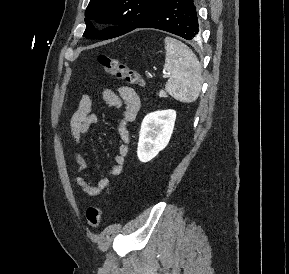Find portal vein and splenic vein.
Segmentation results:
<instances>
[{
	"label": "portal vein and splenic vein",
	"instance_id": "portal-vein-and-splenic-vein-1",
	"mask_svg": "<svg viewBox=\"0 0 289 274\" xmlns=\"http://www.w3.org/2000/svg\"><path fill=\"white\" fill-rule=\"evenodd\" d=\"M169 77V74H167V73H165L164 75H163V78H168Z\"/></svg>",
	"mask_w": 289,
	"mask_h": 274
}]
</instances>
